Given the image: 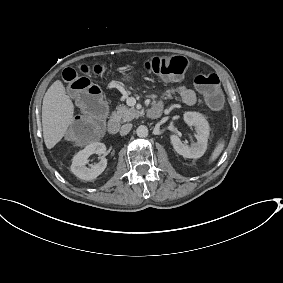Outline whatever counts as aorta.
<instances>
[{
  "label": "aorta",
  "mask_w": 283,
  "mask_h": 283,
  "mask_svg": "<svg viewBox=\"0 0 283 283\" xmlns=\"http://www.w3.org/2000/svg\"><path fill=\"white\" fill-rule=\"evenodd\" d=\"M136 134L138 137L144 138L148 136V128L145 125H140L136 129Z\"/></svg>",
  "instance_id": "aorta-1"
}]
</instances>
